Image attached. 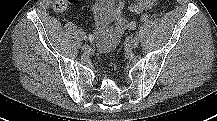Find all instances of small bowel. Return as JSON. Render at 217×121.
Here are the masks:
<instances>
[{
	"mask_svg": "<svg viewBox=\"0 0 217 121\" xmlns=\"http://www.w3.org/2000/svg\"><path fill=\"white\" fill-rule=\"evenodd\" d=\"M157 0H134L129 11L139 14L153 8ZM92 12L95 19L98 47L107 52L113 49L127 30H134L137 26L135 19L124 16V0H94Z\"/></svg>",
	"mask_w": 217,
	"mask_h": 121,
	"instance_id": "1",
	"label": "small bowel"
}]
</instances>
